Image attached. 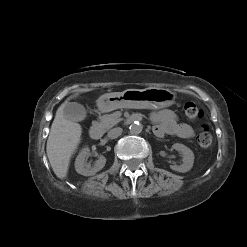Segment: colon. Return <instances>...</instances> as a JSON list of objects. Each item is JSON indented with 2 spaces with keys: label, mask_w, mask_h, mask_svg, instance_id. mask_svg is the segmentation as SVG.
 <instances>
[{
  "label": "colon",
  "mask_w": 247,
  "mask_h": 247,
  "mask_svg": "<svg viewBox=\"0 0 247 247\" xmlns=\"http://www.w3.org/2000/svg\"><path fill=\"white\" fill-rule=\"evenodd\" d=\"M184 114L189 122H196L203 116V111L193 102L184 105ZM212 136L206 125L201 126L198 134V144L201 148L208 149L212 145Z\"/></svg>",
  "instance_id": "5ec220e1"
}]
</instances>
